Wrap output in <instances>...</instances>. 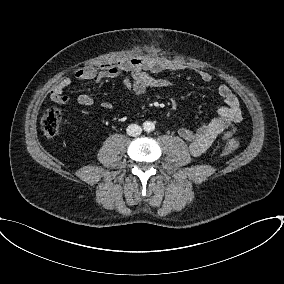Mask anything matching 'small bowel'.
I'll return each instance as SVG.
<instances>
[{
    "mask_svg": "<svg viewBox=\"0 0 284 284\" xmlns=\"http://www.w3.org/2000/svg\"><path fill=\"white\" fill-rule=\"evenodd\" d=\"M177 63L157 57L133 58L117 63H105L100 66H84L79 68L75 77L78 80H94L96 83L121 77L125 88L136 95L144 94L149 88H168L172 82L165 78H156L150 73H161L165 71L180 70ZM200 79L205 83L213 80L207 72L199 73ZM72 80L70 77H63L56 83L50 92L51 100L59 105L66 106L70 98L64 94ZM218 95L223 99L224 105L217 109L216 116L199 127L192 129L181 127L178 130L179 136L187 142L192 156H200L205 153L218 139L229 140L235 133L236 125L242 120V111L239 99L232 90L225 84L217 87ZM81 106H90L94 98L90 94H81L77 98ZM103 107L109 109L112 103L103 102Z\"/></svg>",
    "mask_w": 284,
    "mask_h": 284,
    "instance_id": "c3829d8e",
    "label": "small bowel"
}]
</instances>
